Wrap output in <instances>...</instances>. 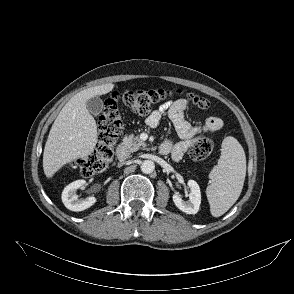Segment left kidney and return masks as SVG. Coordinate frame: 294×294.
Masks as SVG:
<instances>
[{"label":"left kidney","instance_id":"5707ae66","mask_svg":"<svg viewBox=\"0 0 294 294\" xmlns=\"http://www.w3.org/2000/svg\"><path fill=\"white\" fill-rule=\"evenodd\" d=\"M190 188L189 200H182L178 194L173 195V202L178 209L186 214H196L199 211L201 204V191L200 187L194 180L188 181Z\"/></svg>","mask_w":294,"mask_h":294}]
</instances>
